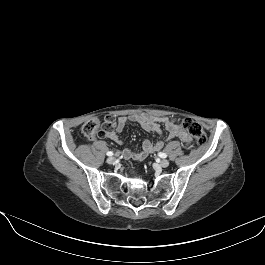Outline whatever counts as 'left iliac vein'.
Here are the masks:
<instances>
[{
	"mask_svg": "<svg viewBox=\"0 0 265 265\" xmlns=\"http://www.w3.org/2000/svg\"><path fill=\"white\" fill-rule=\"evenodd\" d=\"M159 164L161 167L166 168L169 166V161L167 159H162Z\"/></svg>",
	"mask_w": 265,
	"mask_h": 265,
	"instance_id": "4c4485c4",
	"label": "left iliac vein"
}]
</instances>
